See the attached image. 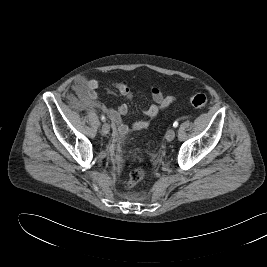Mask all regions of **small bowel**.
<instances>
[{"mask_svg": "<svg viewBox=\"0 0 267 267\" xmlns=\"http://www.w3.org/2000/svg\"><path fill=\"white\" fill-rule=\"evenodd\" d=\"M98 84V80L96 79L78 78L75 80L72 90L76 95L82 98L86 105L99 108L105 112L112 121L116 132L121 136L126 135L131 129L142 130L149 127L150 122L146 119L134 121L131 126H128L122 119V115L127 114L129 111L128 106L125 104L114 106L100 103L96 91ZM116 87L120 94L126 99L131 100L133 98V92L128 82H119ZM150 94L154 104L144 109L143 113L151 119L157 117L161 112L168 109L177 101L176 97L164 95L157 87H151Z\"/></svg>", "mask_w": 267, "mask_h": 267, "instance_id": "small-bowel-1", "label": "small bowel"}]
</instances>
